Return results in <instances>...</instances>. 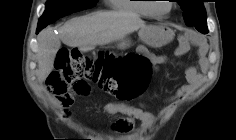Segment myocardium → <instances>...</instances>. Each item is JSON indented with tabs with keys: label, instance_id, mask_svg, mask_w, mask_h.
Wrapping results in <instances>:
<instances>
[{
	"label": "myocardium",
	"instance_id": "f54148a6",
	"mask_svg": "<svg viewBox=\"0 0 236 140\" xmlns=\"http://www.w3.org/2000/svg\"><path fill=\"white\" fill-rule=\"evenodd\" d=\"M150 9L153 13V15L157 18H166L170 15V13L172 12V10L174 9V5L172 3H170L169 5V10L166 13H160L155 4L150 5Z\"/></svg>",
	"mask_w": 236,
	"mask_h": 140
}]
</instances>
